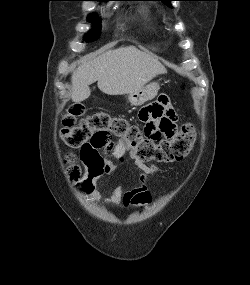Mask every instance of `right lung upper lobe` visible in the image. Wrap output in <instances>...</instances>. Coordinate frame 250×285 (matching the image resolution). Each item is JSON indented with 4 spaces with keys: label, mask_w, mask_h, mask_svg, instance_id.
<instances>
[{
    "label": "right lung upper lobe",
    "mask_w": 250,
    "mask_h": 285,
    "mask_svg": "<svg viewBox=\"0 0 250 285\" xmlns=\"http://www.w3.org/2000/svg\"><path fill=\"white\" fill-rule=\"evenodd\" d=\"M92 1H109V0H92Z\"/></svg>",
    "instance_id": "right-lung-upper-lobe-1"
}]
</instances>
